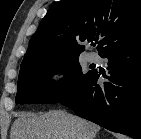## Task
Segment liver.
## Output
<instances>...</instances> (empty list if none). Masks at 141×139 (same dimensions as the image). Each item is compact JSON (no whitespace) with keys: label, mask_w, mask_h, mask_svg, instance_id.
<instances>
[{"label":"liver","mask_w":141,"mask_h":139,"mask_svg":"<svg viewBox=\"0 0 141 139\" xmlns=\"http://www.w3.org/2000/svg\"><path fill=\"white\" fill-rule=\"evenodd\" d=\"M100 126L63 110L22 112L11 127L10 139H95Z\"/></svg>","instance_id":"obj_1"}]
</instances>
